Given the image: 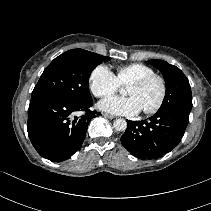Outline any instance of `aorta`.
<instances>
[{"label": "aorta", "instance_id": "obj_1", "mask_svg": "<svg viewBox=\"0 0 211 211\" xmlns=\"http://www.w3.org/2000/svg\"><path fill=\"white\" fill-rule=\"evenodd\" d=\"M115 130L117 131H124L127 127V122L124 119H116L113 123Z\"/></svg>", "mask_w": 211, "mask_h": 211}]
</instances>
